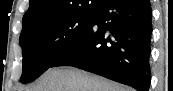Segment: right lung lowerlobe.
I'll list each match as a JSON object with an SVG mask.
<instances>
[{
  "label": "right lung lower lobe",
  "instance_id": "right-lung-lower-lobe-1",
  "mask_svg": "<svg viewBox=\"0 0 173 91\" xmlns=\"http://www.w3.org/2000/svg\"><path fill=\"white\" fill-rule=\"evenodd\" d=\"M151 18L149 0H99L89 28L51 67L73 66L148 91Z\"/></svg>",
  "mask_w": 173,
  "mask_h": 91
}]
</instances>
